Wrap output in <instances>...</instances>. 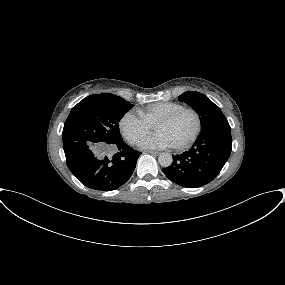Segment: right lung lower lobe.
I'll list each match as a JSON object with an SVG mask.
<instances>
[{
  "instance_id": "98d812e1",
  "label": "right lung lower lobe",
  "mask_w": 285,
  "mask_h": 285,
  "mask_svg": "<svg viewBox=\"0 0 285 285\" xmlns=\"http://www.w3.org/2000/svg\"><path fill=\"white\" fill-rule=\"evenodd\" d=\"M109 148L116 150L113 156L108 154ZM63 149L73 175L85 186L101 191H112L126 183L141 154L123 140L112 144L72 141Z\"/></svg>"
}]
</instances>
